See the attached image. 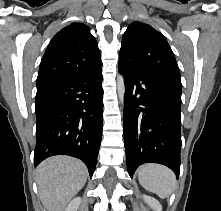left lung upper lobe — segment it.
Masks as SVG:
<instances>
[{
	"label": "left lung upper lobe",
	"instance_id": "1",
	"mask_svg": "<svg viewBox=\"0 0 221 211\" xmlns=\"http://www.w3.org/2000/svg\"><path fill=\"white\" fill-rule=\"evenodd\" d=\"M119 61L143 74L181 85L180 70L167 40L148 24L134 22L127 28Z\"/></svg>",
	"mask_w": 221,
	"mask_h": 211
}]
</instances>
